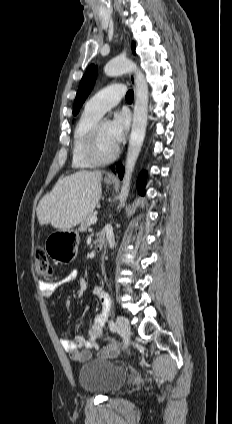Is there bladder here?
<instances>
[{"mask_svg":"<svg viewBox=\"0 0 232 424\" xmlns=\"http://www.w3.org/2000/svg\"><path fill=\"white\" fill-rule=\"evenodd\" d=\"M79 384L87 392L108 395L120 389L127 372L108 360H92L79 369Z\"/></svg>","mask_w":232,"mask_h":424,"instance_id":"31cf9c89","label":"bladder"}]
</instances>
